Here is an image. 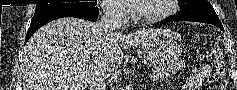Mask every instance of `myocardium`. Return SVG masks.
I'll list each match as a JSON object with an SVG mask.
<instances>
[{"label": "myocardium", "instance_id": "myocardium-1", "mask_svg": "<svg viewBox=\"0 0 237 90\" xmlns=\"http://www.w3.org/2000/svg\"><path fill=\"white\" fill-rule=\"evenodd\" d=\"M161 3H165V8L158 14L155 15H142L139 9L136 7L135 2H131L129 5V9L131 12V16L135 24L138 23H146V24H154L165 18L171 16L175 11L174 3H180V0H158Z\"/></svg>", "mask_w": 237, "mask_h": 90}]
</instances>
